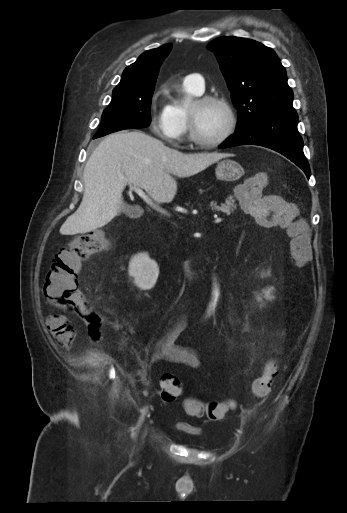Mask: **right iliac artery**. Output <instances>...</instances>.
Instances as JSON below:
<instances>
[{
	"mask_svg": "<svg viewBox=\"0 0 347 513\" xmlns=\"http://www.w3.org/2000/svg\"><path fill=\"white\" fill-rule=\"evenodd\" d=\"M145 412H146V409H143V410H142V416H141V420H140V421H142V420H143V417H144Z\"/></svg>",
	"mask_w": 347,
	"mask_h": 513,
	"instance_id": "obj_1",
	"label": "right iliac artery"
}]
</instances>
